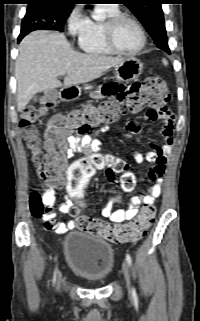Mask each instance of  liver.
Wrapping results in <instances>:
<instances>
[{"instance_id":"1","label":"liver","mask_w":200,"mask_h":321,"mask_svg":"<svg viewBox=\"0 0 200 321\" xmlns=\"http://www.w3.org/2000/svg\"><path fill=\"white\" fill-rule=\"evenodd\" d=\"M123 58L74 51L66 37L58 32L34 31L20 43L15 63L17 107L21 112L35 94L93 81Z\"/></svg>"}]
</instances>
